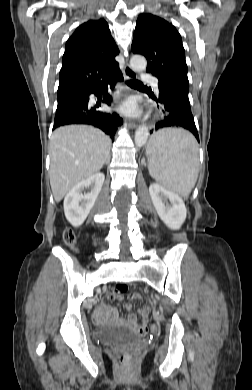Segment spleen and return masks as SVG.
I'll return each instance as SVG.
<instances>
[{"label": "spleen", "mask_w": 252, "mask_h": 390, "mask_svg": "<svg viewBox=\"0 0 252 390\" xmlns=\"http://www.w3.org/2000/svg\"><path fill=\"white\" fill-rule=\"evenodd\" d=\"M146 153L150 175L168 190L188 197L198 178L195 138L182 129H163L152 135Z\"/></svg>", "instance_id": "obj_1"}]
</instances>
